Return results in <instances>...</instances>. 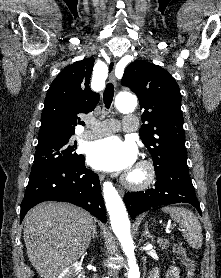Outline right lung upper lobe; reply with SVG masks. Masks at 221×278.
Listing matches in <instances>:
<instances>
[{
	"label": "right lung upper lobe",
	"instance_id": "obj_1",
	"mask_svg": "<svg viewBox=\"0 0 221 278\" xmlns=\"http://www.w3.org/2000/svg\"><path fill=\"white\" fill-rule=\"evenodd\" d=\"M94 58L65 67L54 79L45 97L38 142L55 140L75 133L80 114L94 110L99 94L89 87Z\"/></svg>",
	"mask_w": 221,
	"mask_h": 278
}]
</instances>
